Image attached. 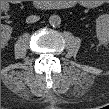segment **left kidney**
<instances>
[{
  "mask_svg": "<svg viewBox=\"0 0 109 109\" xmlns=\"http://www.w3.org/2000/svg\"><path fill=\"white\" fill-rule=\"evenodd\" d=\"M96 34L100 42H107L109 37V16L107 14L100 15L96 19Z\"/></svg>",
  "mask_w": 109,
  "mask_h": 109,
  "instance_id": "obj_1",
  "label": "left kidney"
}]
</instances>
